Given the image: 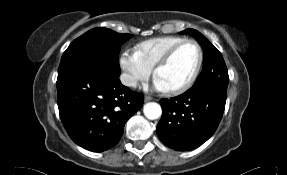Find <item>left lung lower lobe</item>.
I'll list each match as a JSON object with an SVG mask.
<instances>
[{
  "label": "left lung lower lobe",
  "mask_w": 287,
  "mask_h": 175,
  "mask_svg": "<svg viewBox=\"0 0 287 175\" xmlns=\"http://www.w3.org/2000/svg\"><path fill=\"white\" fill-rule=\"evenodd\" d=\"M226 98L227 90L204 88L161 99L163 113L156 129L159 139L176 151L199 147L216 131Z\"/></svg>",
  "instance_id": "0a47b994"
}]
</instances>
